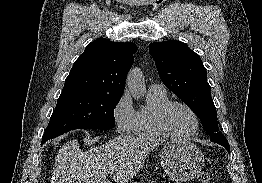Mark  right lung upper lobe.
Returning a JSON list of instances; mask_svg holds the SVG:
<instances>
[{
	"instance_id": "cb5924a9",
	"label": "right lung upper lobe",
	"mask_w": 262,
	"mask_h": 183,
	"mask_svg": "<svg viewBox=\"0 0 262 183\" xmlns=\"http://www.w3.org/2000/svg\"><path fill=\"white\" fill-rule=\"evenodd\" d=\"M137 46L98 38L75 61L62 93L88 91L121 95Z\"/></svg>"
}]
</instances>
